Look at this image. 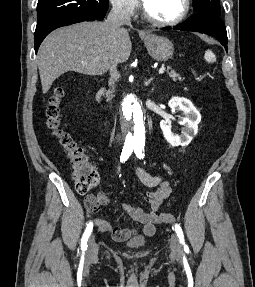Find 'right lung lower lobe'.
Returning <instances> with one entry per match:
<instances>
[{
    "instance_id": "right-lung-lower-lobe-1",
    "label": "right lung lower lobe",
    "mask_w": 255,
    "mask_h": 287,
    "mask_svg": "<svg viewBox=\"0 0 255 287\" xmlns=\"http://www.w3.org/2000/svg\"><path fill=\"white\" fill-rule=\"evenodd\" d=\"M88 16L81 15V14H68L63 16H58L43 22H40L36 26L35 31V52L37 53L38 48L44 38L56 28L82 22V21H94Z\"/></svg>"
}]
</instances>
